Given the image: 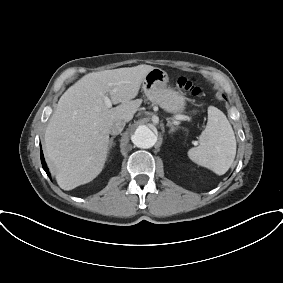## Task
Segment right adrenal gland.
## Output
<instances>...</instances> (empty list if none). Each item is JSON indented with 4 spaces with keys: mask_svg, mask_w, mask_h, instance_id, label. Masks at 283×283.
Returning <instances> with one entry per match:
<instances>
[{
    "mask_svg": "<svg viewBox=\"0 0 283 283\" xmlns=\"http://www.w3.org/2000/svg\"><path fill=\"white\" fill-rule=\"evenodd\" d=\"M115 136H112L109 140V146H108V151H110L112 149V147L115 146V143L113 142Z\"/></svg>",
    "mask_w": 283,
    "mask_h": 283,
    "instance_id": "right-adrenal-gland-1",
    "label": "right adrenal gland"
}]
</instances>
